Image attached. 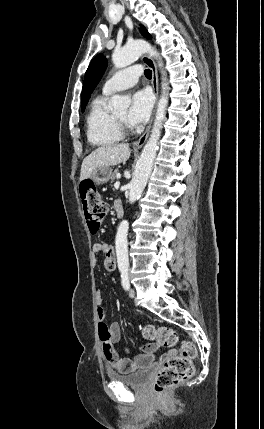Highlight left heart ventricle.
<instances>
[{
	"mask_svg": "<svg viewBox=\"0 0 264 429\" xmlns=\"http://www.w3.org/2000/svg\"><path fill=\"white\" fill-rule=\"evenodd\" d=\"M115 116H116L117 118H119V119L123 120V121H126V118H127V110H122V111H120V112H117V113L115 114Z\"/></svg>",
	"mask_w": 264,
	"mask_h": 429,
	"instance_id": "b2bd125f",
	"label": "left heart ventricle"
}]
</instances>
